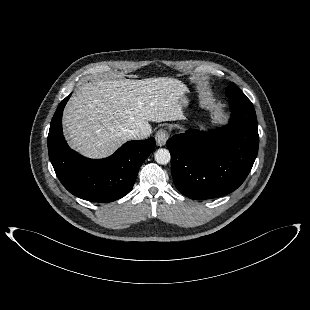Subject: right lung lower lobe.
I'll use <instances>...</instances> for the list:
<instances>
[{
	"label": "right lung lower lobe",
	"instance_id": "98d812e1",
	"mask_svg": "<svg viewBox=\"0 0 310 310\" xmlns=\"http://www.w3.org/2000/svg\"><path fill=\"white\" fill-rule=\"evenodd\" d=\"M58 106L49 129L48 152L55 173L73 195L92 202H112L129 193L139 168L154 150V138L129 141L105 159H88L67 145L62 132L63 109Z\"/></svg>",
	"mask_w": 310,
	"mask_h": 310
}]
</instances>
